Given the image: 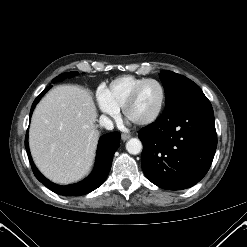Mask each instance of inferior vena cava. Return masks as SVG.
Returning a JSON list of instances; mask_svg holds the SVG:
<instances>
[{"instance_id": "obj_1", "label": "inferior vena cava", "mask_w": 247, "mask_h": 247, "mask_svg": "<svg viewBox=\"0 0 247 247\" xmlns=\"http://www.w3.org/2000/svg\"><path fill=\"white\" fill-rule=\"evenodd\" d=\"M99 124L107 130H112L114 128L112 120L105 115L100 116Z\"/></svg>"}]
</instances>
